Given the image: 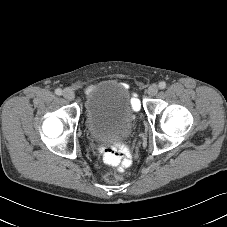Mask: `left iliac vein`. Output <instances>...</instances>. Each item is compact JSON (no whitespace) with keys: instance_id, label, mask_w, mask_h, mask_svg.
Instances as JSON below:
<instances>
[{"instance_id":"4c4485c4","label":"left iliac vein","mask_w":227,"mask_h":227,"mask_svg":"<svg viewBox=\"0 0 227 227\" xmlns=\"http://www.w3.org/2000/svg\"><path fill=\"white\" fill-rule=\"evenodd\" d=\"M159 91L158 85L157 84H152L151 86H149L147 93L150 96H155Z\"/></svg>"}]
</instances>
